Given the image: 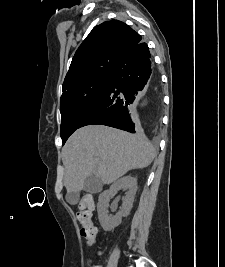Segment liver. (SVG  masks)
<instances>
[{
	"instance_id": "obj_1",
	"label": "liver",
	"mask_w": 225,
	"mask_h": 267,
	"mask_svg": "<svg viewBox=\"0 0 225 267\" xmlns=\"http://www.w3.org/2000/svg\"><path fill=\"white\" fill-rule=\"evenodd\" d=\"M156 153L146 136L130 134L102 125L76 130L62 149L67 192H79L94 172L110 184L132 169L149 166ZM98 158L99 162H95Z\"/></svg>"
}]
</instances>
